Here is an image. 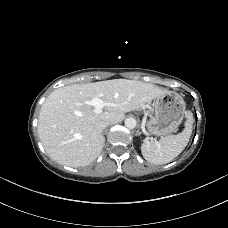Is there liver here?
<instances>
[{"instance_id":"6515ba94","label":"liver","mask_w":228,"mask_h":228,"mask_svg":"<svg viewBox=\"0 0 228 228\" xmlns=\"http://www.w3.org/2000/svg\"><path fill=\"white\" fill-rule=\"evenodd\" d=\"M167 90L151 83L113 79L73 84L54 90L41 106L38 133L47 154L58 163L83 167L101 153L105 138L95 128L101 121L118 123L127 112L146 106ZM98 97L107 105L95 113L87 101Z\"/></svg>"}]
</instances>
